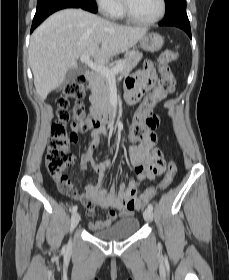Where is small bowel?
Here are the masks:
<instances>
[{"label":"small bowel","instance_id":"small-bowel-1","mask_svg":"<svg viewBox=\"0 0 229 280\" xmlns=\"http://www.w3.org/2000/svg\"><path fill=\"white\" fill-rule=\"evenodd\" d=\"M174 84V79H172ZM153 103L146 104L143 101L138 111L145 114H152V107L164 100L169 94L165 89L161 87L160 82L157 80L156 69L153 65H146L140 71L130 75L125 81L124 99L128 103H134L138 101L142 94L152 87ZM92 141L89 143L84 155L81 158L80 169L87 170L91 168L98 174L99 180L96 184L87 183L83 192H66V194L78 201L85 207L86 215L91 217L95 213L96 208L107 209L112 208L109 211L107 217L104 220L91 223L89 228L91 230H99L109 227L113 221L117 218L118 214L122 217H131L138 209L132 208L128 205L131 199H137L139 196V186L142 182L148 180H154L156 175L147 170L144 166L145 160L149 156L150 150L155 146L158 135L151 129L147 135L143 138V141L135 146L129 148L128 160L133 166L136 172V179L129 182L128 185L121 183L117 189H112L110 192L103 188V182L108 170L111 167V160L107 159L103 162H96L93 158V152L97 146V143L102 137L106 136V131L93 129ZM121 170H118L119 174ZM117 210L118 213L115 211Z\"/></svg>","mask_w":229,"mask_h":280}]
</instances>
